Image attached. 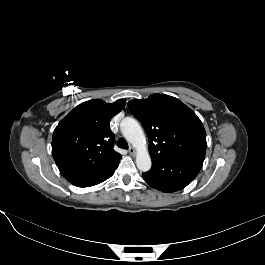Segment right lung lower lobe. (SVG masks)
<instances>
[{
    "instance_id": "obj_1",
    "label": "right lung lower lobe",
    "mask_w": 265,
    "mask_h": 265,
    "mask_svg": "<svg viewBox=\"0 0 265 265\" xmlns=\"http://www.w3.org/2000/svg\"><path fill=\"white\" fill-rule=\"evenodd\" d=\"M120 160L108 167H83L61 171L62 175L77 187H90L112 176Z\"/></svg>"
}]
</instances>
